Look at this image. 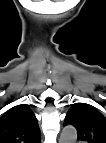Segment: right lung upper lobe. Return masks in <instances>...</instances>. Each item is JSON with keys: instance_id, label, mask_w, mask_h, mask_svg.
<instances>
[{"instance_id": "right-lung-upper-lobe-1", "label": "right lung upper lobe", "mask_w": 106, "mask_h": 143, "mask_svg": "<svg viewBox=\"0 0 106 143\" xmlns=\"http://www.w3.org/2000/svg\"><path fill=\"white\" fill-rule=\"evenodd\" d=\"M40 129L34 113L24 104L0 116V143H39Z\"/></svg>"}]
</instances>
